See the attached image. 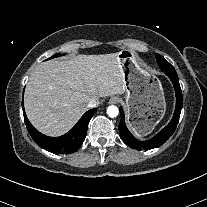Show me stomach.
Instances as JSON below:
<instances>
[{
  "instance_id": "obj_1",
  "label": "stomach",
  "mask_w": 207,
  "mask_h": 207,
  "mask_svg": "<svg viewBox=\"0 0 207 207\" xmlns=\"http://www.w3.org/2000/svg\"><path fill=\"white\" fill-rule=\"evenodd\" d=\"M124 72V103L129 123L140 134L150 133L162 119L166 102L160 81L137 67L135 55L124 49L118 53Z\"/></svg>"
}]
</instances>
